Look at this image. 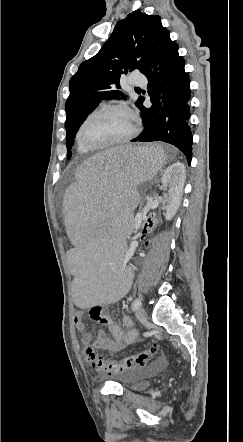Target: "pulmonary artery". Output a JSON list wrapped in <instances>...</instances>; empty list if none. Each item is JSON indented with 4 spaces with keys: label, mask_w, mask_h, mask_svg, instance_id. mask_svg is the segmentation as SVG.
Here are the masks:
<instances>
[{
    "label": "pulmonary artery",
    "mask_w": 243,
    "mask_h": 442,
    "mask_svg": "<svg viewBox=\"0 0 243 442\" xmlns=\"http://www.w3.org/2000/svg\"><path fill=\"white\" fill-rule=\"evenodd\" d=\"M131 82H132L133 85H136V86H142V85H145V84H146V79L139 78V77H137L136 75H134V76L132 77V79H131Z\"/></svg>",
    "instance_id": "pulmonary-artery-1"
}]
</instances>
